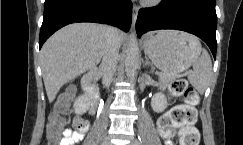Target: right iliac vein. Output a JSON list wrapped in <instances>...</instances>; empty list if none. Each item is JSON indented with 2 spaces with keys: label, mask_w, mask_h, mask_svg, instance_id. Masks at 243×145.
Wrapping results in <instances>:
<instances>
[{
  "label": "right iliac vein",
  "mask_w": 243,
  "mask_h": 145,
  "mask_svg": "<svg viewBox=\"0 0 243 145\" xmlns=\"http://www.w3.org/2000/svg\"><path fill=\"white\" fill-rule=\"evenodd\" d=\"M102 145H112V144H111L110 139H109L108 137H106V138L104 139V141H103V144H102Z\"/></svg>",
  "instance_id": "right-iliac-vein-1"
}]
</instances>
